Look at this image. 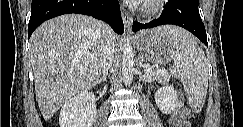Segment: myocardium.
<instances>
[{
	"label": "myocardium",
	"instance_id": "1",
	"mask_svg": "<svg viewBox=\"0 0 243 127\" xmlns=\"http://www.w3.org/2000/svg\"><path fill=\"white\" fill-rule=\"evenodd\" d=\"M162 3V0H148L142 5L141 12L146 16L156 14L161 9Z\"/></svg>",
	"mask_w": 243,
	"mask_h": 127
}]
</instances>
